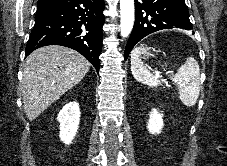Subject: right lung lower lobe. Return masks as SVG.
<instances>
[{
  "label": "right lung lower lobe",
  "mask_w": 227,
  "mask_h": 166,
  "mask_svg": "<svg viewBox=\"0 0 227 166\" xmlns=\"http://www.w3.org/2000/svg\"><path fill=\"white\" fill-rule=\"evenodd\" d=\"M104 0H57L37 8L25 55L47 45H61L82 54L99 72Z\"/></svg>",
  "instance_id": "obj_1"
}]
</instances>
